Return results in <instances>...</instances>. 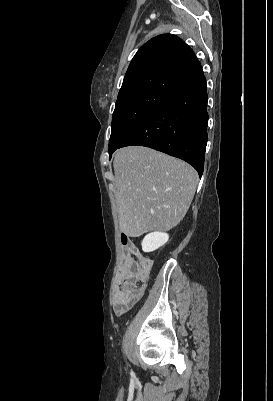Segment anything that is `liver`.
<instances>
[{
    "label": "liver",
    "instance_id": "obj_1",
    "mask_svg": "<svg viewBox=\"0 0 273 401\" xmlns=\"http://www.w3.org/2000/svg\"><path fill=\"white\" fill-rule=\"evenodd\" d=\"M113 166L121 233L169 231L184 219L199 180L190 164L147 146H124Z\"/></svg>",
    "mask_w": 273,
    "mask_h": 401
}]
</instances>
